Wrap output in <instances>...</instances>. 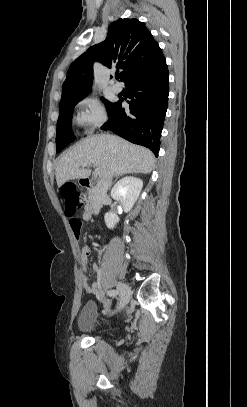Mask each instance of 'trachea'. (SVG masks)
<instances>
[{"label": "trachea", "mask_w": 247, "mask_h": 407, "mask_svg": "<svg viewBox=\"0 0 247 407\" xmlns=\"http://www.w3.org/2000/svg\"><path fill=\"white\" fill-rule=\"evenodd\" d=\"M115 78H116V79L119 78V74H115Z\"/></svg>", "instance_id": "3493384b"}]
</instances>
